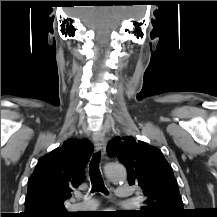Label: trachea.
<instances>
[{
    "mask_svg": "<svg viewBox=\"0 0 217 217\" xmlns=\"http://www.w3.org/2000/svg\"><path fill=\"white\" fill-rule=\"evenodd\" d=\"M100 154L97 153L91 160L89 170H90V180L92 184V192L99 191L107 194L100 170H99Z\"/></svg>",
    "mask_w": 217,
    "mask_h": 217,
    "instance_id": "obj_1",
    "label": "trachea"
}]
</instances>
